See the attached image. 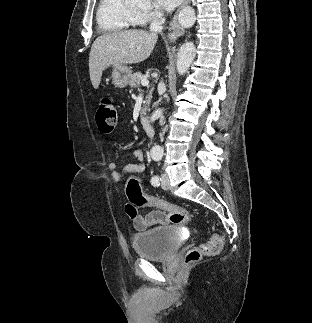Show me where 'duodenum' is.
<instances>
[{"mask_svg":"<svg viewBox=\"0 0 312 323\" xmlns=\"http://www.w3.org/2000/svg\"><path fill=\"white\" fill-rule=\"evenodd\" d=\"M139 124H140L141 129L145 132V134L152 135L153 130H152L151 124L149 122V119L146 116L140 117Z\"/></svg>","mask_w":312,"mask_h":323,"instance_id":"obj_1","label":"duodenum"}]
</instances>
